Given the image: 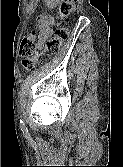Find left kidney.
Masks as SVG:
<instances>
[{
  "instance_id": "obj_1",
  "label": "left kidney",
  "mask_w": 123,
  "mask_h": 167,
  "mask_svg": "<svg viewBox=\"0 0 123 167\" xmlns=\"http://www.w3.org/2000/svg\"><path fill=\"white\" fill-rule=\"evenodd\" d=\"M49 1H50V0H45V2H47V5H49ZM55 1H59V0H55Z\"/></svg>"
}]
</instances>
